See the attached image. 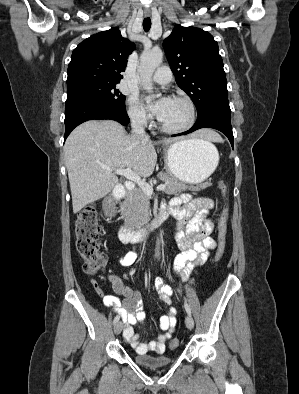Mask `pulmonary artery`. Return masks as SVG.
<instances>
[{
    "mask_svg": "<svg viewBox=\"0 0 299 394\" xmlns=\"http://www.w3.org/2000/svg\"><path fill=\"white\" fill-rule=\"evenodd\" d=\"M171 77V70L166 66H162L154 73L153 80L160 85H168L171 82Z\"/></svg>",
    "mask_w": 299,
    "mask_h": 394,
    "instance_id": "e3ab8cb5",
    "label": "pulmonary artery"
}]
</instances>
